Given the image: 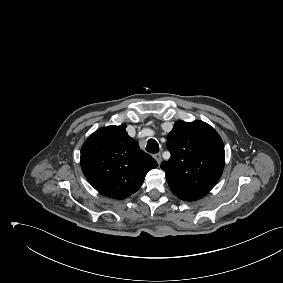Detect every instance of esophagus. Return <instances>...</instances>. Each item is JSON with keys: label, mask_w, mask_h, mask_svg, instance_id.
Returning a JSON list of instances; mask_svg holds the SVG:
<instances>
[{"label": "esophagus", "mask_w": 283, "mask_h": 283, "mask_svg": "<svg viewBox=\"0 0 283 283\" xmlns=\"http://www.w3.org/2000/svg\"><path fill=\"white\" fill-rule=\"evenodd\" d=\"M154 158L156 159L157 163L160 164L162 161V156L160 153H157L154 155Z\"/></svg>", "instance_id": "34e87169"}]
</instances>
